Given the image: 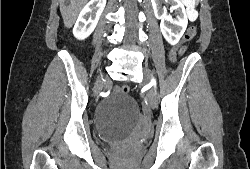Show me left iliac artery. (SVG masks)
I'll return each instance as SVG.
<instances>
[{
	"mask_svg": "<svg viewBox=\"0 0 250 169\" xmlns=\"http://www.w3.org/2000/svg\"><path fill=\"white\" fill-rule=\"evenodd\" d=\"M151 85H156V82H155V80L153 79L152 81H151V83H150Z\"/></svg>",
	"mask_w": 250,
	"mask_h": 169,
	"instance_id": "obj_1",
	"label": "left iliac artery"
}]
</instances>
